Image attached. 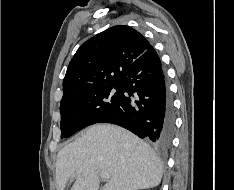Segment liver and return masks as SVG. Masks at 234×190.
<instances>
[{
	"label": "liver",
	"instance_id": "1",
	"mask_svg": "<svg viewBox=\"0 0 234 190\" xmlns=\"http://www.w3.org/2000/svg\"><path fill=\"white\" fill-rule=\"evenodd\" d=\"M110 175L103 190H140L156 187L162 165L151 147L133 133L111 124L89 127L57 155V190H98L99 174Z\"/></svg>",
	"mask_w": 234,
	"mask_h": 190
}]
</instances>
